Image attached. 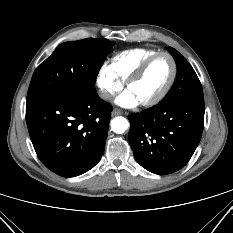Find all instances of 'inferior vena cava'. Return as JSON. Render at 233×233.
Returning <instances> with one entry per match:
<instances>
[{
    "label": "inferior vena cava",
    "instance_id": "1",
    "mask_svg": "<svg viewBox=\"0 0 233 233\" xmlns=\"http://www.w3.org/2000/svg\"><path fill=\"white\" fill-rule=\"evenodd\" d=\"M100 97L102 98V99H105V100H107V99H109L110 97H111V94H109L108 92H106V91H102V92H100Z\"/></svg>",
    "mask_w": 233,
    "mask_h": 233
}]
</instances>
